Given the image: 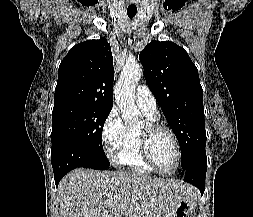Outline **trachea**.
<instances>
[{
  "instance_id": "trachea-1",
  "label": "trachea",
  "mask_w": 253,
  "mask_h": 217,
  "mask_svg": "<svg viewBox=\"0 0 253 217\" xmlns=\"http://www.w3.org/2000/svg\"><path fill=\"white\" fill-rule=\"evenodd\" d=\"M137 13V9L135 8H128L127 9V15L130 19H132Z\"/></svg>"
}]
</instances>
